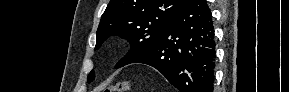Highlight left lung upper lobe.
<instances>
[{"label": "left lung upper lobe", "mask_w": 289, "mask_h": 92, "mask_svg": "<svg viewBox=\"0 0 289 92\" xmlns=\"http://www.w3.org/2000/svg\"><path fill=\"white\" fill-rule=\"evenodd\" d=\"M187 0H110L96 33V46L113 35H120L131 43L129 53L116 68L130 64L148 53L157 43L162 31ZM94 80V71L88 82Z\"/></svg>", "instance_id": "1"}]
</instances>
